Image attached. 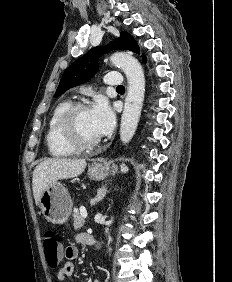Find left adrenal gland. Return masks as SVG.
I'll return each mask as SVG.
<instances>
[{"mask_svg": "<svg viewBox=\"0 0 232 282\" xmlns=\"http://www.w3.org/2000/svg\"><path fill=\"white\" fill-rule=\"evenodd\" d=\"M108 192L109 191L107 190L106 185H103L97 190V195L92 200V204L95 205L96 203L100 202Z\"/></svg>", "mask_w": 232, "mask_h": 282, "instance_id": "a2214340", "label": "left adrenal gland"}]
</instances>
